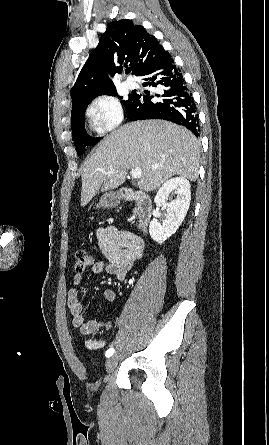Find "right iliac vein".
Returning <instances> with one entry per match:
<instances>
[{
  "label": "right iliac vein",
  "mask_w": 269,
  "mask_h": 445,
  "mask_svg": "<svg viewBox=\"0 0 269 445\" xmlns=\"http://www.w3.org/2000/svg\"><path fill=\"white\" fill-rule=\"evenodd\" d=\"M118 363V356L114 355L112 357H110L107 362H106V369L108 372H111L114 370V368L116 367Z\"/></svg>",
  "instance_id": "1"
}]
</instances>
